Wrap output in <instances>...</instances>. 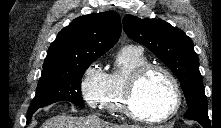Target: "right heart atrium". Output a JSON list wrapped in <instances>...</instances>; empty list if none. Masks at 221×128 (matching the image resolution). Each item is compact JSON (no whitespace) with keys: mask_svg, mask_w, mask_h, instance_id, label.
<instances>
[{"mask_svg":"<svg viewBox=\"0 0 221 128\" xmlns=\"http://www.w3.org/2000/svg\"><path fill=\"white\" fill-rule=\"evenodd\" d=\"M105 78L106 74L100 70L97 62L91 64L85 70L81 83V94L85 102L92 108L99 105Z\"/></svg>","mask_w":221,"mask_h":128,"instance_id":"1","label":"right heart atrium"}]
</instances>
